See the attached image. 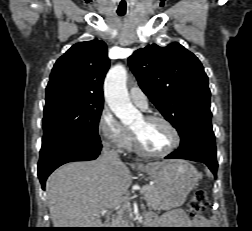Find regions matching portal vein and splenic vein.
Masks as SVG:
<instances>
[{"mask_svg":"<svg viewBox=\"0 0 252 231\" xmlns=\"http://www.w3.org/2000/svg\"><path fill=\"white\" fill-rule=\"evenodd\" d=\"M147 189V186H143L141 192H144Z\"/></svg>","mask_w":252,"mask_h":231,"instance_id":"obj_1","label":"portal vein and splenic vein"}]
</instances>
